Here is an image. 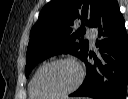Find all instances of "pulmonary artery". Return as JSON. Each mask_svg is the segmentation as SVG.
Listing matches in <instances>:
<instances>
[{
  "label": "pulmonary artery",
  "instance_id": "e3ab8cb5",
  "mask_svg": "<svg viewBox=\"0 0 128 99\" xmlns=\"http://www.w3.org/2000/svg\"><path fill=\"white\" fill-rule=\"evenodd\" d=\"M86 32H87V36H88V38L90 40L91 46H94V44H95V37H96L95 30L92 29V28H88Z\"/></svg>",
  "mask_w": 128,
  "mask_h": 99
}]
</instances>
